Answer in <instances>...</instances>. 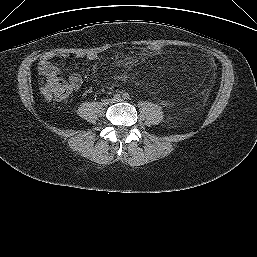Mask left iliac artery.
<instances>
[{"mask_svg":"<svg viewBox=\"0 0 257 257\" xmlns=\"http://www.w3.org/2000/svg\"><path fill=\"white\" fill-rule=\"evenodd\" d=\"M129 97H130V96H129L128 93H124V94H123V98H124V99H129Z\"/></svg>","mask_w":257,"mask_h":257,"instance_id":"left-iliac-artery-1","label":"left iliac artery"}]
</instances>
